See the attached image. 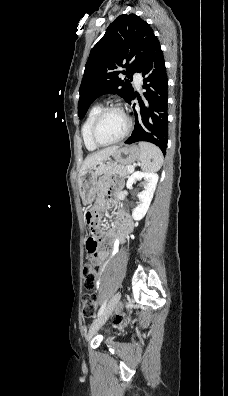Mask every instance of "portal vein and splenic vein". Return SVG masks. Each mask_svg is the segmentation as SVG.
I'll list each match as a JSON object with an SVG mask.
<instances>
[{"instance_id": "18ae733b", "label": "portal vein and splenic vein", "mask_w": 228, "mask_h": 396, "mask_svg": "<svg viewBox=\"0 0 228 396\" xmlns=\"http://www.w3.org/2000/svg\"><path fill=\"white\" fill-rule=\"evenodd\" d=\"M127 169H128L129 171H133V170H134V168H133L132 166H128Z\"/></svg>"}]
</instances>
